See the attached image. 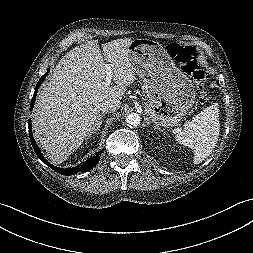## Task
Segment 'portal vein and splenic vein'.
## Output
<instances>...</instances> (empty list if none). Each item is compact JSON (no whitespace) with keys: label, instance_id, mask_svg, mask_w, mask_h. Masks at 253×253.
I'll return each instance as SVG.
<instances>
[{"label":"portal vein and splenic vein","instance_id":"obj_1","mask_svg":"<svg viewBox=\"0 0 253 253\" xmlns=\"http://www.w3.org/2000/svg\"><path fill=\"white\" fill-rule=\"evenodd\" d=\"M105 70H106L105 83H106V85H110V83L112 81V77H113V72H112V69H111V65L110 64H105Z\"/></svg>","mask_w":253,"mask_h":253}]
</instances>
